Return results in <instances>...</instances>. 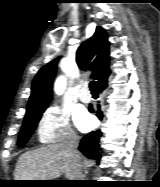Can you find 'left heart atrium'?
Here are the masks:
<instances>
[{"label":"left heart atrium","mask_w":160,"mask_h":187,"mask_svg":"<svg viewBox=\"0 0 160 187\" xmlns=\"http://www.w3.org/2000/svg\"><path fill=\"white\" fill-rule=\"evenodd\" d=\"M75 122L82 131L90 130L94 124L92 117L84 111L75 115Z\"/></svg>","instance_id":"39dd6f15"}]
</instances>
